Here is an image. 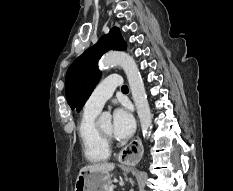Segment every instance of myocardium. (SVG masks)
Instances as JSON below:
<instances>
[{"instance_id":"f54148a6","label":"myocardium","mask_w":233,"mask_h":191,"mask_svg":"<svg viewBox=\"0 0 233 191\" xmlns=\"http://www.w3.org/2000/svg\"><path fill=\"white\" fill-rule=\"evenodd\" d=\"M97 131H98L99 135L101 136V138H102L103 140H105L107 143L110 142V140H111V135L105 133L104 131H102L101 128L99 127V125H97Z\"/></svg>"}]
</instances>
